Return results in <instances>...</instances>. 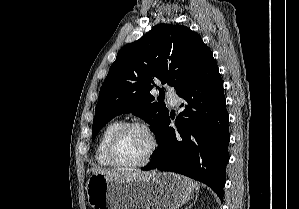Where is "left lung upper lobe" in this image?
Segmentation results:
<instances>
[{"label": "left lung upper lobe", "instance_id": "1", "mask_svg": "<svg viewBox=\"0 0 299 209\" xmlns=\"http://www.w3.org/2000/svg\"><path fill=\"white\" fill-rule=\"evenodd\" d=\"M212 57L201 37L182 25L158 24L122 47L100 89L92 139L113 117L130 112L149 123L156 135L168 109L154 102L150 91L163 92L158 81L178 90Z\"/></svg>", "mask_w": 299, "mask_h": 209}]
</instances>
